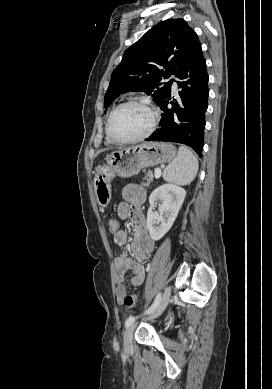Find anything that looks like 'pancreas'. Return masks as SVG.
I'll return each mask as SVG.
<instances>
[{"mask_svg":"<svg viewBox=\"0 0 272 389\" xmlns=\"http://www.w3.org/2000/svg\"><path fill=\"white\" fill-rule=\"evenodd\" d=\"M146 176H147V178H148V179H147L146 186H148V185H150V183H152V181H153V178H154L153 172H152L151 170H149V171L147 172Z\"/></svg>","mask_w":272,"mask_h":389,"instance_id":"cf45deb5","label":"pancreas"}]
</instances>
